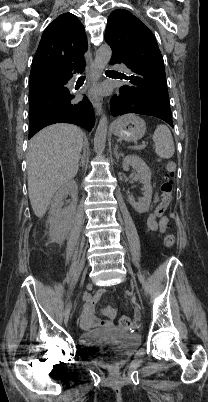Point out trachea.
I'll list each match as a JSON object with an SVG mask.
<instances>
[{
	"label": "trachea",
	"instance_id": "3493384b",
	"mask_svg": "<svg viewBox=\"0 0 208 402\" xmlns=\"http://www.w3.org/2000/svg\"><path fill=\"white\" fill-rule=\"evenodd\" d=\"M107 72H114V70H107ZM80 78H85V77H80Z\"/></svg>",
	"mask_w": 208,
	"mask_h": 402
}]
</instances>
